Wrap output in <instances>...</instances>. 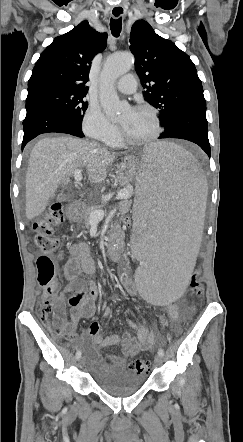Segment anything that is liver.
I'll use <instances>...</instances> for the list:
<instances>
[{"mask_svg": "<svg viewBox=\"0 0 243 442\" xmlns=\"http://www.w3.org/2000/svg\"><path fill=\"white\" fill-rule=\"evenodd\" d=\"M115 153L94 141L71 136L46 137L33 147L26 174V217L39 216L60 185H67L76 169H86L88 181L102 182Z\"/></svg>", "mask_w": 243, "mask_h": 442, "instance_id": "liver-1", "label": "liver"}]
</instances>
